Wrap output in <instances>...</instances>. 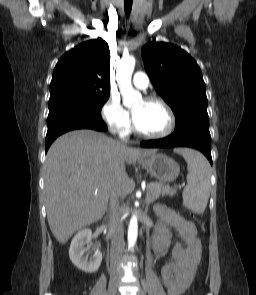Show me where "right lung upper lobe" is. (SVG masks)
I'll list each match as a JSON object with an SVG mask.
<instances>
[{
  "label": "right lung upper lobe",
  "mask_w": 256,
  "mask_h": 295,
  "mask_svg": "<svg viewBox=\"0 0 256 295\" xmlns=\"http://www.w3.org/2000/svg\"><path fill=\"white\" fill-rule=\"evenodd\" d=\"M110 51L98 38L79 44L65 53L55 66L50 99L67 96H109Z\"/></svg>",
  "instance_id": "obj_1"
}]
</instances>
